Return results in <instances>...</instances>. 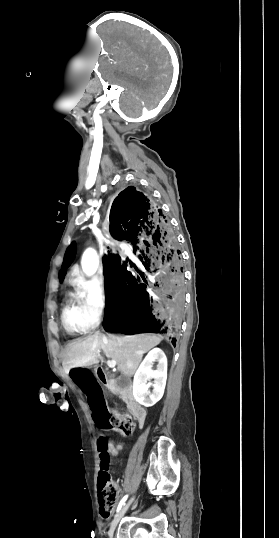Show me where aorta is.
Instances as JSON below:
<instances>
[{
  "instance_id": "aorta-1",
  "label": "aorta",
  "mask_w": 279,
  "mask_h": 538,
  "mask_svg": "<svg viewBox=\"0 0 279 538\" xmlns=\"http://www.w3.org/2000/svg\"><path fill=\"white\" fill-rule=\"evenodd\" d=\"M81 266L83 271L89 276L96 272L98 268V255L94 249L88 248L85 250L82 256Z\"/></svg>"
}]
</instances>
